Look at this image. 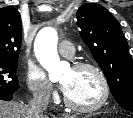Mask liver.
Wrapping results in <instances>:
<instances>
[{
    "label": "liver",
    "mask_w": 133,
    "mask_h": 118,
    "mask_svg": "<svg viewBox=\"0 0 133 118\" xmlns=\"http://www.w3.org/2000/svg\"><path fill=\"white\" fill-rule=\"evenodd\" d=\"M27 110L24 103L0 101V118H27Z\"/></svg>",
    "instance_id": "liver-1"
}]
</instances>
